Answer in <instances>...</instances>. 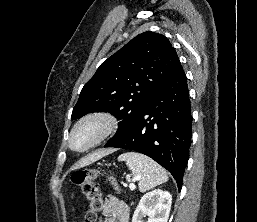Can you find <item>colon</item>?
I'll return each instance as SVG.
<instances>
[{
	"label": "colon",
	"mask_w": 257,
	"mask_h": 222,
	"mask_svg": "<svg viewBox=\"0 0 257 222\" xmlns=\"http://www.w3.org/2000/svg\"><path fill=\"white\" fill-rule=\"evenodd\" d=\"M99 174L97 169L85 168L77 170L71 175L72 184L80 189L82 196L88 202L84 222H95L97 215L103 209L102 196L96 181ZM109 183L115 187L112 179H109Z\"/></svg>",
	"instance_id": "1"
}]
</instances>
